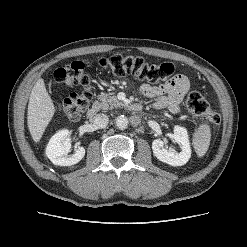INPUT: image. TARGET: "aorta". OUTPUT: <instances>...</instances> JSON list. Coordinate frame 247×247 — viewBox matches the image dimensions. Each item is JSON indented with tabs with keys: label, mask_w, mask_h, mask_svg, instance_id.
<instances>
[{
	"label": "aorta",
	"mask_w": 247,
	"mask_h": 247,
	"mask_svg": "<svg viewBox=\"0 0 247 247\" xmlns=\"http://www.w3.org/2000/svg\"><path fill=\"white\" fill-rule=\"evenodd\" d=\"M116 122V126L117 128L123 130V129H126L128 127V119L127 117L121 115V116H118L115 120Z\"/></svg>",
	"instance_id": "762f6f07"
}]
</instances>
